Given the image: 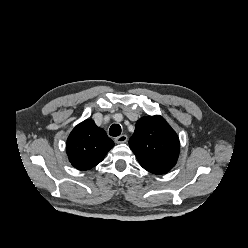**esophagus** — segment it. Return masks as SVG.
I'll use <instances>...</instances> for the list:
<instances>
[{
	"instance_id": "esophagus-1",
	"label": "esophagus",
	"mask_w": 248,
	"mask_h": 248,
	"mask_svg": "<svg viewBox=\"0 0 248 248\" xmlns=\"http://www.w3.org/2000/svg\"><path fill=\"white\" fill-rule=\"evenodd\" d=\"M127 136L126 135H120V136H118V137H116L114 140H115V142L116 143H125V142H127Z\"/></svg>"
}]
</instances>
